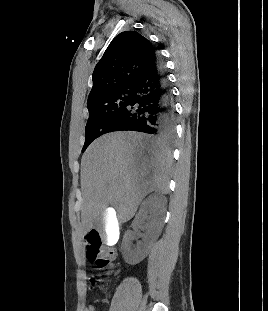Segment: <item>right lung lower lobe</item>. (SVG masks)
<instances>
[{
  "instance_id": "right-lung-lower-lobe-1",
  "label": "right lung lower lobe",
  "mask_w": 268,
  "mask_h": 311,
  "mask_svg": "<svg viewBox=\"0 0 268 311\" xmlns=\"http://www.w3.org/2000/svg\"><path fill=\"white\" fill-rule=\"evenodd\" d=\"M132 87L130 101L109 132L138 131L171 141L175 133L176 112L164 65L158 55L154 65Z\"/></svg>"
}]
</instances>
